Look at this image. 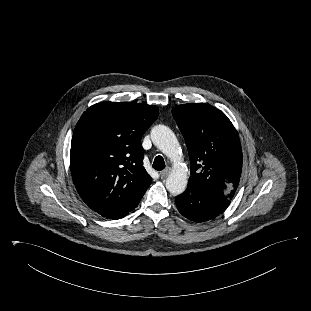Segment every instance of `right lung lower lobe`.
<instances>
[{"instance_id": "1", "label": "right lung lower lobe", "mask_w": 311, "mask_h": 311, "mask_svg": "<svg viewBox=\"0 0 311 311\" xmlns=\"http://www.w3.org/2000/svg\"><path fill=\"white\" fill-rule=\"evenodd\" d=\"M138 204H139V203H138ZM138 204L135 205V206H134L130 211H128V212L121 213V214H117V215H102V216H104V217H106V218H108V219H120V218H123V217H125L126 215H128L129 212H131L134 208H136V207L138 206Z\"/></svg>"}]
</instances>
